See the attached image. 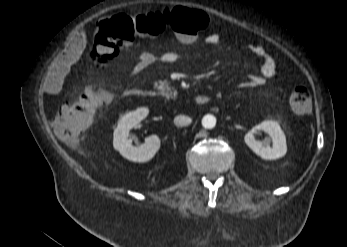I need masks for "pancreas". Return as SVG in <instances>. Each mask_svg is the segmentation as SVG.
Wrapping results in <instances>:
<instances>
[{
	"mask_svg": "<svg viewBox=\"0 0 347 247\" xmlns=\"http://www.w3.org/2000/svg\"><path fill=\"white\" fill-rule=\"evenodd\" d=\"M154 87L159 90V94L161 96H165L167 99L176 97V93L172 92L171 88L167 85L166 82H155Z\"/></svg>",
	"mask_w": 347,
	"mask_h": 247,
	"instance_id": "cf45deb5",
	"label": "pancreas"
}]
</instances>
